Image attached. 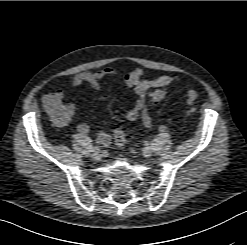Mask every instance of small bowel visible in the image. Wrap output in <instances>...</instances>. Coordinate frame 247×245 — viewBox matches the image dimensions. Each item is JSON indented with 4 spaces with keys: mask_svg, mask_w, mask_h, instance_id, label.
I'll return each mask as SVG.
<instances>
[{
    "mask_svg": "<svg viewBox=\"0 0 247 245\" xmlns=\"http://www.w3.org/2000/svg\"><path fill=\"white\" fill-rule=\"evenodd\" d=\"M145 70L143 68H135L131 71L124 72L119 71L110 67L101 68L96 71H82L73 76L71 80V85L73 87H78L82 84H87L92 89L96 91H101L103 89L102 81L107 77H119L121 78L126 86L130 88L134 95V101L132 106L127 112V119L130 121H135L140 119L145 128L152 127V119L150 112L146 103V96L148 90L151 88H163L171 83L175 82L178 78L177 76L162 75L153 79H144L143 76ZM64 92L61 89H57L47 95L43 99V104L48 110L53 105H63L66 113L67 119L63 123H57L59 125H64L68 123L76 113V105L73 103L64 104ZM76 130L79 134H87L91 131V127L86 123H79L76 126ZM97 139L103 146H108L111 143V136L105 131H99L97 134Z\"/></svg>",
    "mask_w": 247,
    "mask_h": 245,
    "instance_id": "obj_1",
    "label": "small bowel"
}]
</instances>
